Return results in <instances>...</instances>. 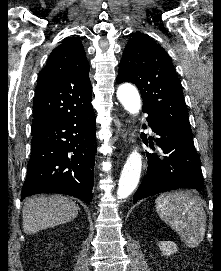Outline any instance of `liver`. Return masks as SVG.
<instances>
[{
    "instance_id": "1",
    "label": "liver",
    "mask_w": 221,
    "mask_h": 271,
    "mask_svg": "<svg viewBox=\"0 0 221 271\" xmlns=\"http://www.w3.org/2000/svg\"><path fill=\"white\" fill-rule=\"evenodd\" d=\"M79 207L73 199L64 195H34L23 205V231L36 233L40 229L67 223L77 217Z\"/></svg>"
}]
</instances>
